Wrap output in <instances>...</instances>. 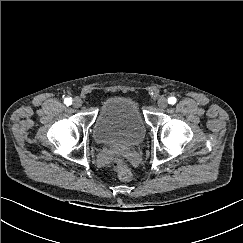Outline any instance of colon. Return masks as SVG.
<instances>
[{
    "mask_svg": "<svg viewBox=\"0 0 243 243\" xmlns=\"http://www.w3.org/2000/svg\"><path fill=\"white\" fill-rule=\"evenodd\" d=\"M111 168L123 181H130L133 178L132 171L120 156H114L111 160Z\"/></svg>",
    "mask_w": 243,
    "mask_h": 243,
    "instance_id": "1",
    "label": "colon"
}]
</instances>
